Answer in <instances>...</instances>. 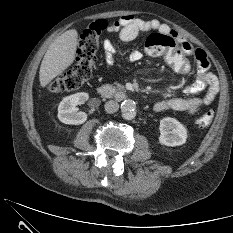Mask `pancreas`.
<instances>
[{
	"label": "pancreas",
	"mask_w": 233,
	"mask_h": 233,
	"mask_svg": "<svg viewBox=\"0 0 233 233\" xmlns=\"http://www.w3.org/2000/svg\"><path fill=\"white\" fill-rule=\"evenodd\" d=\"M114 88L116 91H122L124 89V86L119 83H116V86Z\"/></svg>",
	"instance_id": "1"
}]
</instances>
